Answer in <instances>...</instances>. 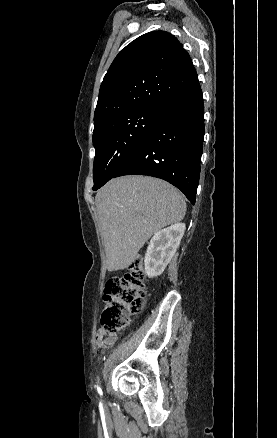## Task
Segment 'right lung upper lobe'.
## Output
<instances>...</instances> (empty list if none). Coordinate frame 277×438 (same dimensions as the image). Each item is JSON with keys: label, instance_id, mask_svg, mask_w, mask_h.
<instances>
[{"label": "right lung upper lobe", "instance_id": "cb5924a9", "mask_svg": "<svg viewBox=\"0 0 277 438\" xmlns=\"http://www.w3.org/2000/svg\"><path fill=\"white\" fill-rule=\"evenodd\" d=\"M156 63L172 65L162 70ZM192 60L175 36L146 33L116 56L99 91L94 124L115 115L160 109L176 95L198 84Z\"/></svg>", "mask_w": 277, "mask_h": 438}]
</instances>
